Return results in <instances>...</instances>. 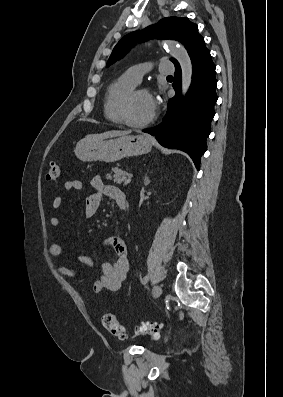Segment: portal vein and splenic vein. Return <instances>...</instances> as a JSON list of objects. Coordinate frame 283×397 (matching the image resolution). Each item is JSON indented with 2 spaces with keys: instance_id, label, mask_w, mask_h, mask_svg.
<instances>
[{
  "instance_id": "1",
  "label": "portal vein and splenic vein",
  "mask_w": 283,
  "mask_h": 397,
  "mask_svg": "<svg viewBox=\"0 0 283 397\" xmlns=\"http://www.w3.org/2000/svg\"><path fill=\"white\" fill-rule=\"evenodd\" d=\"M127 177H128L129 179H131V178L133 177V174H132V173H127Z\"/></svg>"
}]
</instances>
